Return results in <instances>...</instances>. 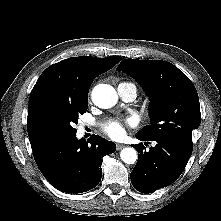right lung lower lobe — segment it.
Here are the masks:
<instances>
[{"label": "right lung lower lobe", "instance_id": "1", "mask_svg": "<svg viewBox=\"0 0 221 221\" xmlns=\"http://www.w3.org/2000/svg\"><path fill=\"white\" fill-rule=\"evenodd\" d=\"M75 136L50 140L32 149L44 177L58 190L73 194L97 186L102 158L116 150L115 143L99 136L92 135L88 141H78Z\"/></svg>", "mask_w": 221, "mask_h": 221}]
</instances>
